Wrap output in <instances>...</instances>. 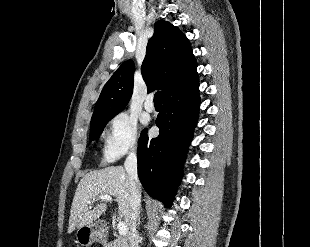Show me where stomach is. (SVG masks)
Instances as JSON below:
<instances>
[{
  "mask_svg": "<svg viewBox=\"0 0 310 247\" xmlns=\"http://www.w3.org/2000/svg\"><path fill=\"white\" fill-rule=\"evenodd\" d=\"M106 231V225L103 221L97 220L91 224L78 227L76 232L77 243L83 247H89L94 242L101 240Z\"/></svg>",
  "mask_w": 310,
  "mask_h": 247,
  "instance_id": "stomach-1",
  "label": "stomach"
}]
</instances>
